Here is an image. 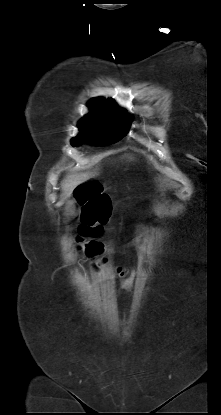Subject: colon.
<instances>
[{"label":"colon","instance_id":"1","mask_svg":"<svg viewBox=\"0 0 221 415\" xmlns=\"http://www.w3.org/2000/svg\"><path fill=\"white\" fill-rule=\"evenodd\" d=\"M78 203L81 205L82 225L80 227L81 239L86 237L96 238L103 232V224L106 223L110 215V202L108 198L101 194L96 185H88L77 193ZM89 250L98 253L101 250L99 243H91ZM109 272L116 274L115 281L119 284V289L124 293H129L134 289L136 281L134 274H128L124 265H114L109 267Z\"/></svg>","mask_w":221,"mask_h":415}]
</instances>
